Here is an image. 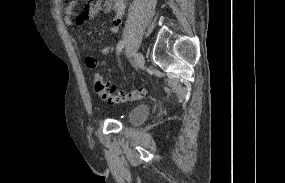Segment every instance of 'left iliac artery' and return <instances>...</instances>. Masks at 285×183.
Segmentation results:
<instances>
[{"label":"left iliac artery","instance_id":"obj_1","mask_svg":"<svg viewBox=\"0 0 285 183\" xmlns=\"http://www.w3.org/2000/svg\"><path fill=\"white\" fill-rule=\"evenodd\" d=\"M124 45H125V41L118 42L117 47H116V52L119 53L123 49Z\"/></svg>","mask_w":285,"mask_h":183}]
</instances>
